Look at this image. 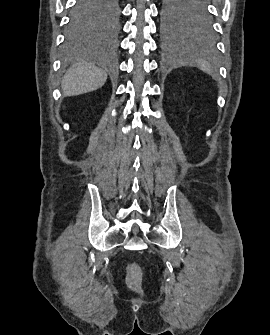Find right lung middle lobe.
Returning <instances> with one entry per match:
<instances>
[{"label": "right lung middle lobe", "instance_id": "1", "mask_svg": "<svg viewBox=\"0 0 270 335\" xmlns=\"http://www.w3.org/2000/svg\"><path fill=\"white\" fill-rule=\"evenodd\" d=\"M66 28L67 43L83 40L95 26H116L121 0H76Z\"/></svg>", "mask_w": 270, "mask_h": 335}]
</instances>
